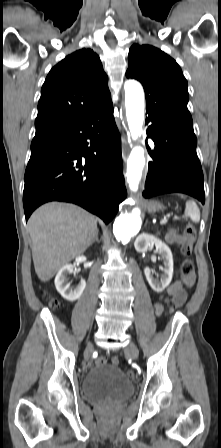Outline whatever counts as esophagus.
I'll return each mask as SVG.
<instances>
[{
	"label": "esophagus",
	"mask_w": 221,
	"mask_h": 448,
	"mask_svg": "<svg viewBox=\"0 0 221 448\" xmlns=\"http://www.w3.org/2000/svg\"><path fill=\"white\" fill-rule=\"evenodd\" d=\"M128 151H129L128 143H127L126 139L124 138L123 143H122V158L124 161H126V159H127Z\"/></svg>",
	"instance_id": "1"
}]
</instances>
